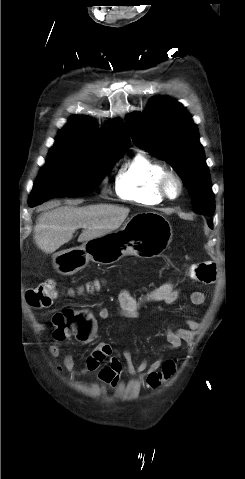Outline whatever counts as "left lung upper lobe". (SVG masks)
<instances>
[{
  "instance_id": "1",
  "label": "left lung upper lobe",
  "mask_w": 245,
  "mask_h": 479,
  "mask_svg": "<svg viewBox=\"0 0 245 479\" xmlns=\"http://www.w3.org/2000/svg\"><path fill=\"white\" fill-rule=\"evenodd\" d=\"M126 125L133 142L169 162L188 188L195 212L212 216L214 194L197 126L186 109L170 97H155Z\"/></svg>"
}]
</instances>
